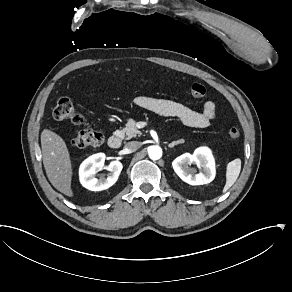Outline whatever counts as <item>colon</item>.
<instances>
[{
  "label": "colon",
  "instance_id": "5ec220e1",
  "mask_svg": "<svg viewBox=\"0 0 292 292\" xmlns=\"http://www.w3.org/2000/svg\"><path fill=\"white\" fill-rule=\"evenodd\" d=\"M190 94L196 98H205L207 90L200 83H193L190 86ZM53 116L57 120H67L74 125L85 124L84 115L76 108L71 99L63 97L58 100L53 110ZM229 137L236 140L240 137V130L237 126H231L228 130ZM103 134L96 129H85L75 131L71 135V145L74 148L95 147L102 143Z\"/></svg>",
  "mask_w": 292,
  "mask_h": 292
}]
</instances>
